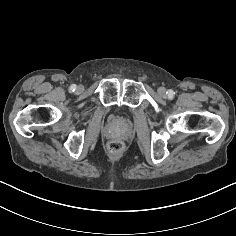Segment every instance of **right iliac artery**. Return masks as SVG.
<instances>
[{"label":"right iliac artery","instance_id":"1","mask_svg":"<svg viewBox=\"0 0 236 236\" xmlns=\"http://www.w3.org/2000/svg\"><path fill=\"white\" fill-rule=\"evenodd\" d=\"M75 90H76V85L75 84L71 85L70 86V91L74 92Z\"/></svg>","mask_w":236,"mask_h":236}]
</instances>
